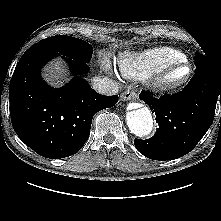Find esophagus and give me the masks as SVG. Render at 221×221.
Returning <instances> with one entry per match:
<instances>
[{
	"mask_svg": "<svg viewBox=\"0 0 221 221\" xmlns=\"http://www.w3.org/2000/svg\"><path fill=\"white\" fill-rule=\"evenodd\" d=\"M137 98V94L134 90L128 89L121 95V99L123 101L135 100Z\"/></svg>",
	"mask_w": 221,
	"mask_h": 221,
	"instance_id": "34e87169",
	"label": "esophagus"
}]
</instances>
